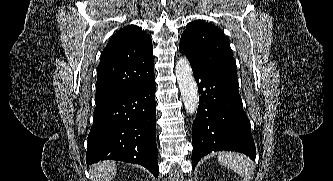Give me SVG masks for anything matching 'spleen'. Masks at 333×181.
<instances>
[{
    "instance_id": "spleen-1",
    "label": "spleen",
    "mask_w": 333,
    "mask_h": 181,
    "mask_svg": "<svg viewBox=\"0 0 333 181\" xmlns=\"http://www.w3.org/2000/svg\"><path fill=\"white\" fill-rule=\"evenodd\" d=\"M218 162L239 174L242 178L252 175L249 160L242 154L223 152L217 157Z\"/></svg>"
}]
</instances>
